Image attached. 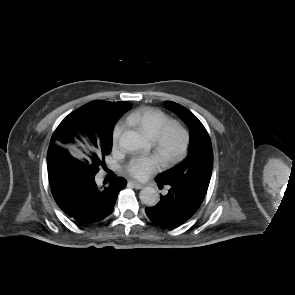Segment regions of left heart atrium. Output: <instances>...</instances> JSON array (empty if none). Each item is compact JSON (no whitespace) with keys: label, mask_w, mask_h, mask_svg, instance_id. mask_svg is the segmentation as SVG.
Returning <instances> with one entry per match:
<instances>
[{"label":"left heart atrium","mask_w":295,"mask_h":295,"mask_svg":"<svg viewBox=\"0 0 295 295\" xmlns=\"http://www.w3.org/2000/svg\"><path fill=\"white\" fill-rule=\"evenodd\" d=\"M162 162L155 154L135 156L127 164L126 171L138 180H145L160 169Z\"/></svg>","instance_id":"39dd6f15"}]
</instances>
